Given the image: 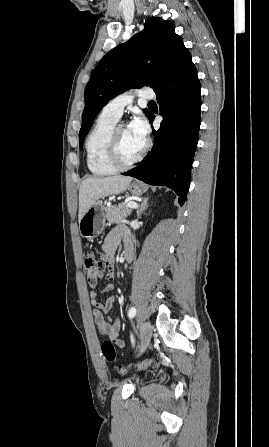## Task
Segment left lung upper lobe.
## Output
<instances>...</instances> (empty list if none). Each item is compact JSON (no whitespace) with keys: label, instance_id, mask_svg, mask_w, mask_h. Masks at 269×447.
<instances>
[{"label":"left lung upper lobe","instance_id":"obj_1","mask_svg":"<svg viewBox=\"0 0 269 447\" xmlns=\"http://www.w3.org/2000/svg\"><path fill=\"white\" fill-rule=\"evenodd\" d=\"M174 28L169 20L150 18L142 32L109 51L94 68L85 89L80 148L96 115L109 100L127 89L142 86L157 92L169 80L186 50ZM144 113L150 114L148 110Z\"/></svg>","mask_w":269,"mask_h":447}]
</instances>
